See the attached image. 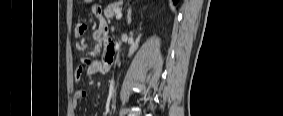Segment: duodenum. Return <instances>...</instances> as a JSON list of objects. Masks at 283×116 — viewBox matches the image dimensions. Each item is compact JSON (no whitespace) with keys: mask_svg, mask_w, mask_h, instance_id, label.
I'll return each mask as SVG.
<instances>
[{"mask_svg":"<svg viewBox=\"0 0 283 116\" xmlns=\"http://www.w3.org/2000/svg\"><path fill=\"white\" fill-rule=\"evenodd\" d=\"M107 61H108L110 64L113 63L114 57L109 58Z\"/></svg>","mask_w":283,"mask_h":116,"instance_id":"obj_1","label":"duodenum"}]
</instances>
